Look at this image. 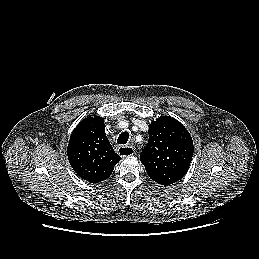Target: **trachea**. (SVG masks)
<instances>
[{
	"label": "trachea",
	"mask_w": 259,
	"mask_h": 259,
	"mask_svg": "<svg viewBox=\"0 0 259 259\" xmlns=\"http://www.w3.org/2000/svg\"><path fill=\"white\" fill-rule=\"evenodd\" d=\"M128 139H129V133H128L127 131H125V132H122V133L119 135V137H118V139H117V142H118L119 144H126L127 141H128Z\"/></svg>",
	"instance_id": "1"
}]
</instances>
